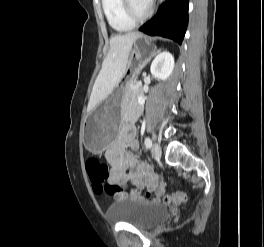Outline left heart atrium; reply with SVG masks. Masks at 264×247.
Listing matches in <instances>:
<instances>
[{
  "instance_id": "obj_1",
  "label": "left heart atrium",
  "mask_w": 264,
  "mask_h": 247,
  "mask_svg": "<svg viewBox=\"0 0 264 247\" xmlns=\"http://www.w3.org/2000/svg\"><path fill=\"white\" fill-rule=\"evenodd\" d=\"M144 4L149 5L151 0H141Z\"/></svg>"
}]
</instances>
